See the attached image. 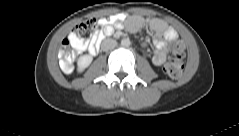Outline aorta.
Wrapping results in <instances>:
<instances>
[{"mask_svg":"<svg viewBox=\"0 0 239 136\" xmlns=\"http://www.w3.org/2000/svg\"><path fill=\"white\" fill-rule=\"evenodd\" d=\"M130 44H131V42H130V39H129V38H125V39H122V40H121V45H122L123 47H129Z\"/></svg>","mask_w":239,"mask_h":136,"instance_id":"obj_1","label":"aorta"}]
</instances>
